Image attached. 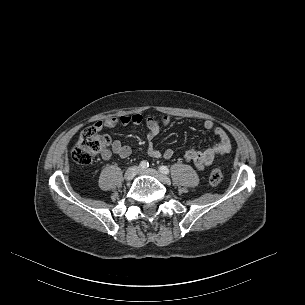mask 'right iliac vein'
Instances as JSON below:
<instances>
[{
	"instance_id": "1",
	"label": "right iliac vein",
	"mask_w": 305,
	"mask_h": 305,
	"mask_svg": "<svg viewBox=\"0 0 305 305\" xmlns=\"http://www.w3.org/2000/svg\"><path fill=\"white\" fill-rule=\"evenodd\" d=\"M138 171H139V167H137V166H131V167H129V168L125 171V173H124V178H125L127 181H130V180H132V179L135 177V175L138 173Z\"/></svg>"
}]
</instances>
